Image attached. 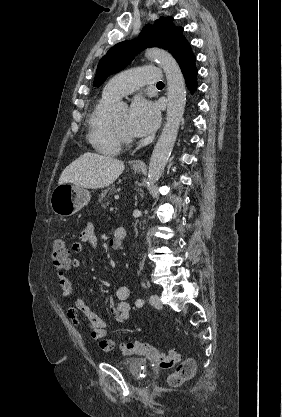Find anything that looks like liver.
Here are the masks:
<instances>
[{"label":"liver","mask_w":282,"mask_h":417,"mask_svg":"<svg viewBox=\"0 0 282 417\" xmlns=\"http://www.w3.org/2000/svg\"><path fill=\"white\" fill-rule=\"evenodd\" d=\"M124 168V162L114 156L84 152L64 168L58 184L73 182L83 188H104L112 184Z\"/></svg>","instance_id":"obj_1"}]
</instances>
